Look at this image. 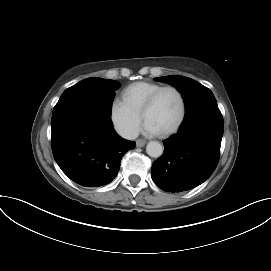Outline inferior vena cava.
<instances>
[{
	"instance_id": "1",
	"label": "inferior vena cava",
	"mask_w": 271,
	"mask_h": 271,
	"mask_svg": "<svg viewBox=\"0 0 271 271\" xmlns=\"http://www.w3.org/2000/svg\"><path fill=\"white\" fill-rule=\"evenodd\" d=\"M138 136V132L137 131H129L126 133V138L129 139V140H133V139H136Z\"/></svg>"
}]
</instances>
